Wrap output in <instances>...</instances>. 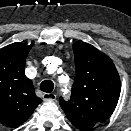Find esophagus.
Instances as JSON below:
<instances>
[{
    "label": "esophagus",
    "mask_w": 131,
    "mask_h": 131,
    "mask_svg": "<svg viewBox=\"0 0 131 131\" xmlns=\"http://www.w3.org/2000/svg\"><path fill=\"white\" fill-rule=\"evenodd\" d=\"M56 98H57V96L54 93H44L43 94L44 101H55Z\"/></svg>",
    "instance_id": "esophagus-1"
}]
</instances>
